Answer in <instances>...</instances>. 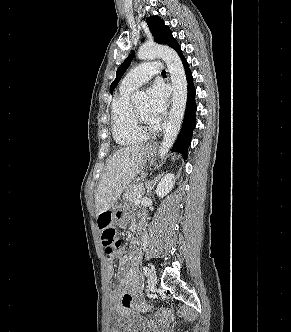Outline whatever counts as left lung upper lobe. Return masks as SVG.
<instances>
[{
    "label": "left lung upper lobe",
    "instance_id": "5c2ea615",
    "mask_svg": "<svg viewBox=\"0 0 291 332\" xmlns=\"http://www.w3.org/2000/svg\"><path fill=\"white\" fill-rule=\"evenodd\" d=\"M149 30L151 31L154 41L159 44H165L173 48L174 50L180 49L176 39L172 36V33L168 26L164 24V21L159 16H151L146 19ZM134 58V53L129 55L126 60L119 66L116 72V78L110 86V92L112 93L117 84L119 83L122 75L129 67L132 59Z\"/></svg>",
    "mask_w": 291,
    "mask_h": 332
}]
</instances>
